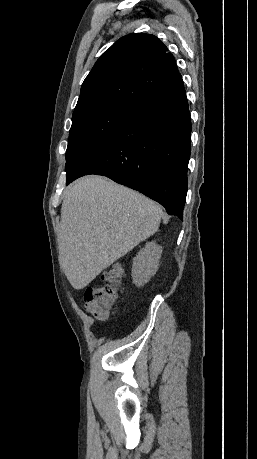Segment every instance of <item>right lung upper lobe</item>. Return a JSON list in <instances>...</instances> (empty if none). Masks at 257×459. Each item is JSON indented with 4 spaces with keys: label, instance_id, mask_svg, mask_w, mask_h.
Returning a JSON list of instances; mask_svg holds the SVG:
<instances>
[{
    "label": "right lung upper lobe",
    "instance_id": "obj_1",
    "mask_svg": "<svg viewBox=\"0 0 257 459\" xmlns=\"http://www.w3.org/2000/svg\"><path fill=\"white\" fill-rule=\"evenodd\" d=\"M181 79L173 55L157 37L126 35L100 56L84 80L72 119L108 106L136 109Z\"/></svg>",
    "mask_w": 257,
    "mask_h": 459
}]
</instances>
